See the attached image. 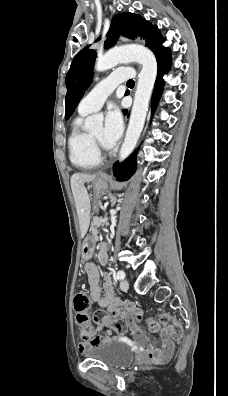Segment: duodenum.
I'll use <instances>...</instances> for the list:
<instances>
[{"label": "duodenum", "mask_w": 228, "mask_h": 396, "mask_svg": "<svg viewBox=\"0 0 228 396\" xmlns=\"http://www.w3.org/2000/svg\"><path fill=\"white\" fill-rule=\"evenodd\" d=\"M101 263H105V260H104V259H101Z\"/></svg>", "instance_id": "duodenum-1"}]
</instances>
